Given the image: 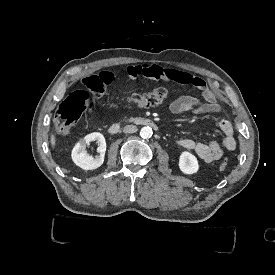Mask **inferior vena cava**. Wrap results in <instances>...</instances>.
<instances>
[{"label":"inferior vena cava","instance_id":"obj_1","mask_svg":"<svg viewBox=\"0 0 275 275\" xmlns=\"http://www.w3.org/2000/svg\"><path fill=\"white\" fill-rule=\"evenodd\" d=\"M137 130H138V128L135 125H126L123 128L124 133H135V132H137Z\"/></svg>","mask_w":275,"mask_h":275}]
</instances>
